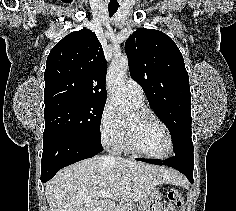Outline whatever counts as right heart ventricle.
Here are the masks:
<instances>
[{
  "instance_id": "obj_1",
  "label": "right heart ventricle",
  "mask_w": 236,
  "mask_h": 211,
  "mask_svg": "<svg viewBox=\"0 0 236 211\" xmlns=\"http://www.w3.org/2000/svg\"><path fill=\"white\" fill-rule=\"evenodd\" d=\"M124 125V124H123ZM124 134V133H123ZM116 148L121 151H127L130 152V150L127 148L124 142V135L121 137L120 141L118 142Z\"/></svg>"
}]
</instances>
